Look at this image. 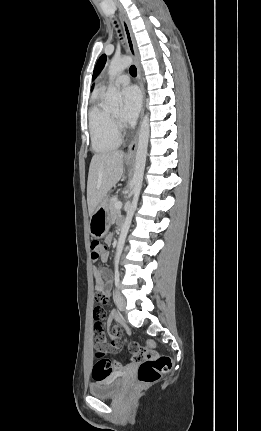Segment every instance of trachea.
<instances>
[{"label":"trachea","instance_id":"3493384b","mask_svg":"<svg viewBox=\"0 0 261 431\" xmlns=\"http://www.w3.org/2000/svg\"><path fill=\"white\" fill-rule=\"evenodd\" d=\"M129 71H130V74H131L132 76H136V75H137V69H136V67H135L134 65H132V66L130 67Z\"/></svg>","mask_w":261,"mask_h":431}]
</instances>
